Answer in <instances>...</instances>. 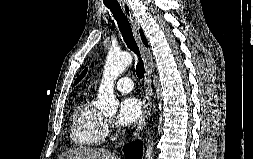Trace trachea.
<instances>
[{"instance_id":"1","label":"trachea","mask_w":253,"mask_h":159,"mask_svg":"<svg viewBox=\"0 0 253 159\" xmlns=\"http://www.w3.org/2000/svg\"><path fill=\"white\" fill-rule=\"evenodd\" d=\"M104 4L108 9H110L114 18L116 19L119 30L122 34V37H123L127 47L137 55L138 63L136 65V75L139 79H142L144 77V73H145L144 63L140 57V51H139L137 43L134 39L132 28L130 26V23H129L127 17L123 13L118 1L105 0Z\"/></svg>"}]
</instances>
